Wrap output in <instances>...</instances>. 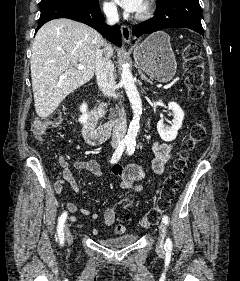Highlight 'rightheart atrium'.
I'll return each mask as SVG.
<instances>
[{
  "label": "right heart atrium",
  "mask_w": 240,
  "mask_h": 281,
  "mask_svg": "<svg viewBox=\"0 0 240 281\" xmlns=\"http://www.w3.org/2000/svg\"><path fill=\"white\" fill-rule=\"evenodd\" d=\"M102 9L108 18L115 19L118 17V9L114 2L110 0H104L102 2Z\"/></svg>",
  "instance_id": "right-heart-atrium-1"
}]
</instances>
